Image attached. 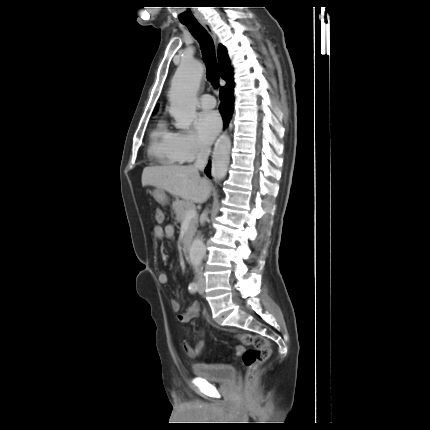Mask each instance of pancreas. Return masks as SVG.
I'll return each mask as SVG.
<instances>
[{"instance_id":"cf45deb5","label":"pancreas","mask_w":430,"mask_h":430,"mask_svg":"<svg viewBox=\"0 0 430 430\" xmlns=\"http://www.w3.org/2000/svg\"><path fill=\"white\" fill-rule=\"evenodd\" d=\"M172 206H173V210L176 214V220L179 223H181L185 220L186 212L190 208H194V205L191 202L178 200V199L173 202ZM197 225H198V216L196 215L189 220L188 230H187L186 236H185L186 238H188L189 236H191L195 232Z\"/></svg>"}]
</instances>
